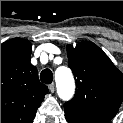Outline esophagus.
<instances>
[{
  "instance_id": "1",
  "label": "esophagus",
  "mask_w": 123,
  "mask_h": 123,
  "mask_svg": "<svg viewBox=\"0 0 123 123\" xmlns=\"http://www.w3.org/2000/svg\"><path fill=\"white\" fill-rule=\"evenodd\" d=\"M48 88L49 91L53 93L55 91V84L54 83L49 84Z\"/></svg>"
}]
</instances>
